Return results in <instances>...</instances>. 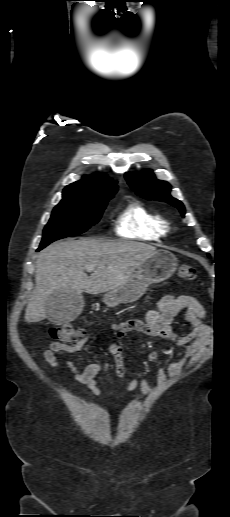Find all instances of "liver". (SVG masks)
Segmentation results:
<instances>
[{
	"instance_id": "liver-1",
	"label": "liver",
	"mask_w": 230,
	"mask_h": 517,
	"mask_svg": "<svg viewBox=\"0 0 230 517\" xmlns=\"http://www.w3.org/2000/svg\"><path fill=\"white\" fill-rule=\"evenodd\" d=\"M154 252L155 247L143 243L92 238L49 245L37 256L36 286L25 321L33 323L47 318L45 304L55 291L99 294L120 287ZM87 266L95 267L89 277L85 273Z\"/></svg>"
}]
</instances>
